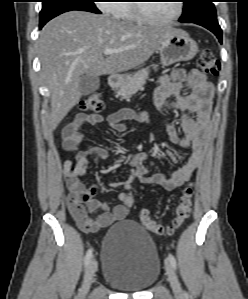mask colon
<instances>
[{"instance_id": "1", "label": "colon", "mask_w": 248, "mask_h": 299, "mask_svg": "<svg viewBox=\"0 0 248 299\" xmlns=\"http://www.w3.org/2000/svg\"><path fill=\"white\" fill-rule=\"evenodd\" d=\"M197 65L202 72L213 76H217L220 72V63L215 54L209 49H202L200 51ZM103 108L104 102L98 92L90 93L81 103V109L90 113H99ZM73 171V168L69 170L70 173H73ZM67 184L69 186L67 200L68 209L73 216L83 218L88 209L86 198L83 194V183L72 177L67 181ZM193 197L194 190L193 187L189 185L184 189L176 206L174 218L168 226L153 220L147 209L141 210L139 216L140 222L144 228L157 235H171L179 230L189 217L193 206ZM124 204L128 208L132 206V198L128 196Z\"/></svg>"}]
</instances>
